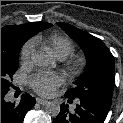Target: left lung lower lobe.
I'll return each mask as SVG.
<instances>
[{
    "label": "left lung lower lobe",
    "mask_w": 123,
    "mask_h": 123,
    "mask_svg": "<svg viewBox=\"0 0 123 123\" xmlns=\"http://www.w3.org/2000/svg\"><path fill=\"white\" fill-rule=\"evenodd\" d=\"M69 98V97H67ZM75 112L70 113L67 104L61 105L59 115L53 120V123H103L111 105L104 102L79 98ZM69 101H72L69 98Z\"/></svg>",
    "instance_id": "1"
}]
</instances>
